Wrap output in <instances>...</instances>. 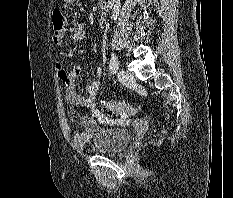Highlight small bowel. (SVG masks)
<instances>
[{
	"mask_svg": "<svg viewBox=\"0 0 233 198\" xmlns=\"http://www.w3.org/2000/svg\"><path fill=\"white\" fill-rule=\"evenodd\" d=\"M67 35L72 36L75 41H81L86 36V29L83 24H75L65 26L59 32H53L52 42L55 45H61ZM55 68L59 79L65 86V99L72 105L92 106L95 102L96 96L99 92L102 76V68L96 69V78L89 82L85 88V94H80L75 89V82L81 74V67L79 65L73 66L71 69H65L60 61H57ZM95 117L102 121H107V118L99 111L95 112Z\"/></svg>",
	"mask_w": 233,
	"mask_h": 198,
	"instance_id": "obj_1",
	"label": "small bowel"
}]
</instances>
